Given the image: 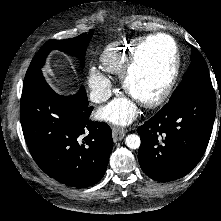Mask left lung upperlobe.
Returning <instances> with one entry per match:
<instances>
[{
    "instance_id": "5c2ea615",
    "label": "left lung upper lobe",
    "mask_w": 221,
    "mask_h": 221,
    "mask_svg": "<svg viewBox=\"0 0 221 221\" xmlns=\"http://www.w3.org/2000/svg\"><path fill=\"white\" fill-rule=\"evenodd\" d=\"M191 47V64L183 75L181 83L173 92L170 101L177 98L179 95L193 86L213 88L207 64L203 56L194 46Z\"/></svg>"
}]
</instances>
